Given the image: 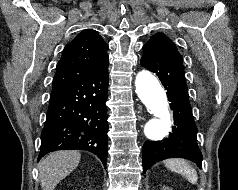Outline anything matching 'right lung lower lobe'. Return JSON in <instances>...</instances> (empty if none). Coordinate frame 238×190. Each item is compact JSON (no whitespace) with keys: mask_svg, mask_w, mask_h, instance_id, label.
<instances>
[{"mask_svg":"<svg viewBox=\"0 0 238 190\" xmlns=\"http://www.w3.org/2000/svg\"><path fill=\"white\" fill-rule=\"evenodd\" d=\"M108 63L51 92L38 160L54 150L82 149L96 154L106 167Z\"/></svg>","mask_w":238,"mask_h":190,"instance_id":"obj_1","label":"right lung lower lobe"}]
</instances>
